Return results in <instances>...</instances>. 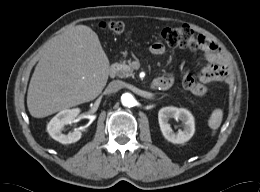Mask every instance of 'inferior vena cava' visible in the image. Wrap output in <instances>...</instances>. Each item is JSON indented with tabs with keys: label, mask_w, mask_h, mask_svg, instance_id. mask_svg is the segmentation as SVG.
Masks as SVG:
<instances>
[{
	"label": "inferior vena cava",
	"mask_w": 260,
	"mask_h": 192,
	"mask_svg": "<svg viewBox=\"0 0 260 192\" xmlns=\"http://www.w3.org/2000/svg\"><path fill=\"white\" fill-rule=\"evenodd\" d=\"M122 88H123V82L122 81H120V80H113L107 86L106 92L107 93H113V92L119 91Z\"/></svg>",
	"instance_id": "inferior-vena-cava-1"
}]
</instances>
